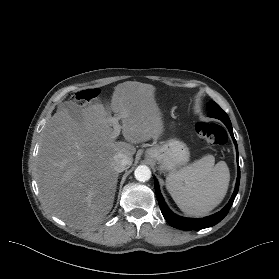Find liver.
<instances>
[{
	"instance_id": "1",
	"label": "liver",
	"mask_w": 279,
	"mask_h": 279,
	"mask_svg": "<svg viewBox=\"0 0 279 279\" xmlns=\"http://www.w3.org/2000/svg\"><path fill=\"white\" fill-rule=\"evenodd\" d=\"M155 87L127 81L114 88L112 117L103 104L79 107L76 121L66 106H59L47 122L36 161V180L42 202L56 217L76 229L98 225L111 211L118 182L113 157L123 153L133 159V144L163 132ZM71 108V106H70ZM112 118L121 120L127 142L113 136Z\"/></svg>"
}]
</instances>
